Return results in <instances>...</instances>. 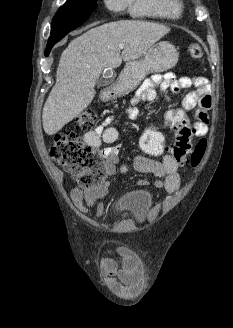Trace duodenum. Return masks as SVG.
<instances>
[{"label":"duodenum","mask_w":233,"mask_h":328,"mask_svg":"<svg viewBox=\"0 0 233 328\" xmlns=\"http://www.w3.org/2000/svg\"><path fill=\"white\" fill-rule=\"evenodd\" d=\"M111 94H113V93H111L110 91H107L106 96L108 97Z\"/></svg>","instance_id":"1"}]
</instances>
